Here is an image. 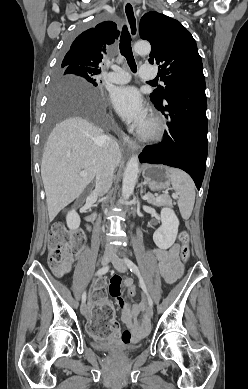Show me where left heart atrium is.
<instances>
[{
    "mask_svg": "<svg viewBox=\"0 0 248 389\" xmlns=\"http://www.w3.org/2000/svg\"><path fill=\"white\" fill-rule=\"evenodd\" d=\"M111 101L118 114L126 121L142 128L147 122V110L139 91L132 86L115 88Z\"/></svg>",
    "mask_w": 248,
    "mask_h": 389,
    "instance_id": "1",
    "label": "left heart atrium"
}]
</instances>
